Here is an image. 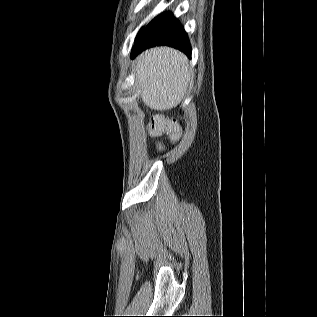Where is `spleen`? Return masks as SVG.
Here are the masks:
<instances>
[{
    "mask_svg": "<svg viewBox=\"0 0 317 317\" xmlns=\"http://www.w3.org/2000/svg\"><path fill=\"white\" fill-rule=\"evenodd\" d=\"M134 70L143 102L155 110L176 107L191 80L187 58L170 48L146 51L137 59Z\"/></svg>",
    "mask_w": 317,
    "mask_h": 317,
    "instance_id": "obj_1",
    "label": "spleen"
}]
</instances>
